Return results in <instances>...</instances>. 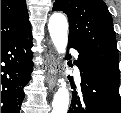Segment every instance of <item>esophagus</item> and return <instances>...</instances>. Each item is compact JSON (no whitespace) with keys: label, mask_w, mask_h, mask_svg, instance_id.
I'll return each mask as SVG.
<instances>
[{"label":"esophagus","mask_w":121,"mask_h":113,"mask_svg":"<svg viewBox=\"0 0 121 113\" xmlns=\"http://www.w3.org/2000/svg\"><path fill=\"white\" fill-rule=\"evenodd\" d=\"M58 61L54 51L50 50L47 57V66L50 70L57 67ZM47 84L49 89H53L57 84V77L54 74H49L47 77Z\"/></svg>","instance_id":"34e87169"}]
</instances>
